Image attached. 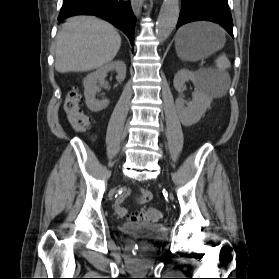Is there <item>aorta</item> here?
<instances>
[{
  "instance_id": "762f6f07",
  "label": "aorta",
  "mask_w": 279,
  "mask_h": 279,
  "mask_svg": "<svg viewBox=\"0 0 279 279\" xmlns=\"http://www.w3.org/2000/svg\"><path fill=\"white\" fill-rule=\"evenodd\" d=\"M179 0H164L156 23V36L165 41L176 27L179 17Z\"/></svg>"
}]
</instances>
